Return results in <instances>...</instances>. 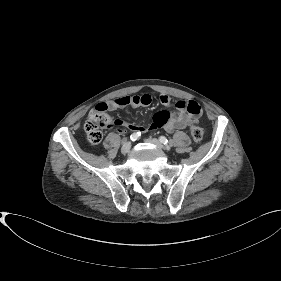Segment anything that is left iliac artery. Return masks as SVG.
<instances>
[{"instance_id":"44dca946","label":"left iliac artery","mask_w":281,"mask_h":281,"mask_svg":"<svg viewBox=\"0 0 281 281\" xmlns=\"http://www.w3.org/2000/svg\"><path fill=\"white\" fill-rule=\"evenodd\" d=\"M159 141L164 145H171L172 141H169L165 136H160Z\"/></svg>"}]
</instances>
